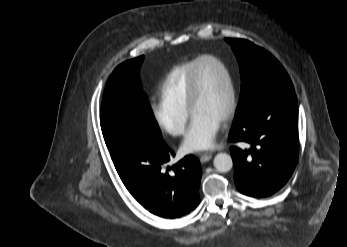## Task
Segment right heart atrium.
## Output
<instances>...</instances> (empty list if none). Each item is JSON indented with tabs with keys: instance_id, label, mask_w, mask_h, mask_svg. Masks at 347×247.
Listing matches in <instances>:
<instances>
[{
	"instance_id": "1",
	"label": "right heart atrium",
	"mask_w": 347,
	"mask_h": 247,
	"mask_svg": "<svg viewBox=\"0 0 347 247\" xmlns=\"http://www.w3.org/2000/svg\"><path fill=\"white\" fill-rule=\"evenodd\" d=\"M156 125L166 134L178 137L185 132L189 113L187 109L171 105L162 99L151 104Z\"/></svg>"
}]
</instances>
